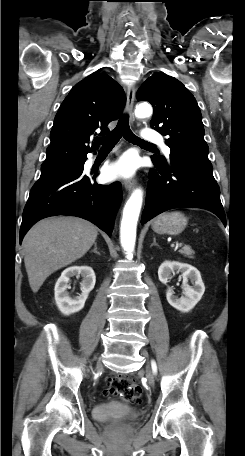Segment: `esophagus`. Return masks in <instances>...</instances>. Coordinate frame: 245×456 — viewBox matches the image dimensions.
I'll return each mask as SVG.
<instances>
[{
  "instance_id": "esophagus-1",
  "label": "esophagus",
  "mask_w": 245,
  "mask_h": 456,
  "mask_svg": "<svg viewBox=\"0 0 245 456\" xmlns=\"http://www.w3.org/2000/svg\"><path fill=\"white\" fill-rule=\"evenodd\" d=\"M134 99H135V87L130 86L127 91V99H126V111H127V114L129 115L130 121L134 120V114H133ZM124 186H125L126 190L130 191L135 188L136 180L135 179L126 180L124 182Z\"/></svg>"
}]
</instances>
